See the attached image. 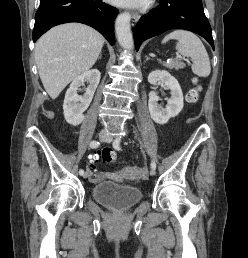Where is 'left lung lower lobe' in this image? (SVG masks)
I'll return each mask as SVG.
<instances>
[{
  "mask_svg": "<svg viewBox=\"0 0 248 258\" xmlns=\"http://www.w3.org/2000/svg\"><path fill=\"white\" fill-rule=\"evenodd\" d=\"M176 28L199 34L214 49L211 26L201 0H160V4L142 16L135 26L136 50L144 40Z\"/></svg>",
  "mask_w": 248,
  "mask_h": 258,
  "instance_id": "0a47b994",
  "label": "left lung lower lobe"
}]
</instances>
